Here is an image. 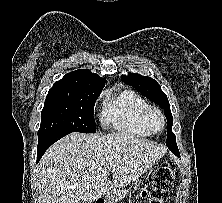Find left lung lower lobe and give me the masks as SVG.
Here are the masks:
<instances>
[{"label":"left lung lower lobe","instance_id":"1","mask_svg":"<svg viewBox=\"0 0 222 203\" xmlns=\"http://www.w3.org/2000/svg\"><path fill=\"white\" fill-rule=\"evenodd\" d=\"M169 149H170V150L172 151V153H174L176 156H180L179 150H178V147H177V146L170 147Z\"/></svg>","mask_w":222,"mask_h":203}]
</instances>
